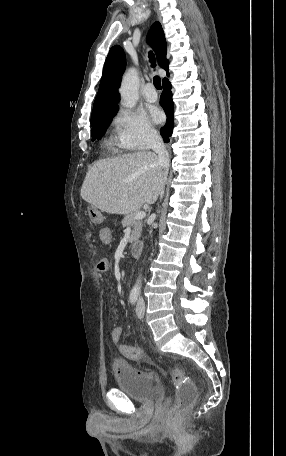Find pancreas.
I'll list each match as a JSON object with an SVG mask.
<instances>
[{
  "label": "pancreas",
  "mask_w": 286,
  "mask_h": 456,
  "mask_svg": "<svg viewBox=\"0 0 286 456\" xmlns=\"http://www.w3.org/2000/svg\"><path fill=\"white\" fill-rule=\"evenodd\" d=\"M135 214V212L129 213L122 220L123 227L131 226L133 228L129 238L130 243L137 241L139 239L143 226L141 220L135 219Z\"/></svg>",
  "instance_id": "pancreas-1"
}]
</instances>
